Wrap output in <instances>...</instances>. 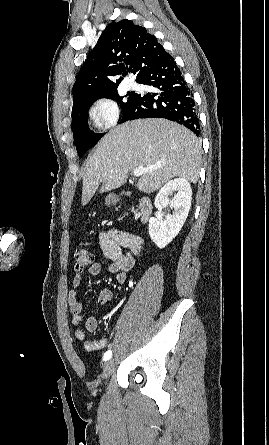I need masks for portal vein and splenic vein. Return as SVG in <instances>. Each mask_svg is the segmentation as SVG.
Wrapping results in <instances>:
<instances>
[{"mask_svg":"<svg viewBox=\"0 0 269 445\" xmlns=\"http://www.w3.org/2000/svg\"><path fill=\"white\" fill-rule=\"evenodd\" d=\"M160 167H161V165L147 167V168H143V167L135 168L133 170V174H134V176L139 177L146 172L156 170L157 168H160Z\"/></svg>","mask_w":269,"mask_h":445,"instance_id":"portal-vein-and-splenic-vein-1","label":"portal vein and splenic vein"}]
</instances>
